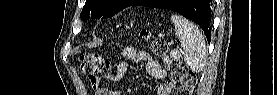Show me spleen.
<instances>
[{
    "label": "spleen",
    "mask_w": 277,
    "mask_h": 95,
    "mask_svg": "<svg viewBox=\"0 0 277 95\" xmlns=\"http://www.w3.org/2000/svg\"><path fill=\"white\" fill-rule=\"evenodd\" d=\"M175 34L184 50V61L192 71L201 72L205 66V40L196 25L179 15H172Z\"/></svg>",
    "instance_id": "spleen-1"
}]
</instances>
